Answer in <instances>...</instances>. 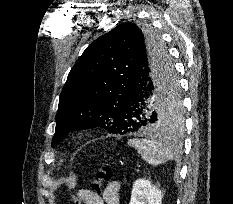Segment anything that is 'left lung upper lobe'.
Masks as SVG:
<instances>
[{
    "instance_id": "left-lung-upper-lobe-1",
    "label": "left lung upper lobe",
    "mask_w": 233,
    "mask_h": 204,
    "mask_svg": "<svg viewBox=\"0 0 233 204\" xmlns=\"http://www.w3.org/2000/svg\"><path fill=\"white\" fill-rule=\"evenodd\" d=\"M163 53L174 74V67L163 43L150 28L122 23L92 42L71 69L62 89L56 114L52 146L68 133L100 127L112 134H123L116 124L119 104L128 86L140 51ZM158 126L177 131L183 126L179 84L174 82L157 103Z\"/></svg>"
}]
</instances>
